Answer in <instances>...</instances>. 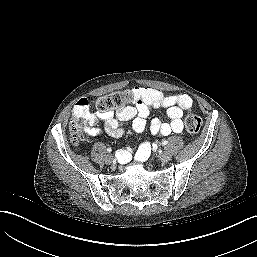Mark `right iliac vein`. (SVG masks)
I'll list each match as a JSON object with an SVG mask.
<instances>
[{
  "label": "right iliac vein",
  "instance_id": "63e3f726",
  "mask_svg": "<svg viewBox=\"0 0 257 257\" xmlns=\"http://www.w3.org/2000/svg\"><path fill=\"white\" fill-rule=\"evenodd\" d=\"M114 160L115 159L112 155H107L106 159H105L106 163H108V164H112L114 162Z\"/></svg>",
  "mask_w": 257,
  "mask_h": 257
}]
</instances>
